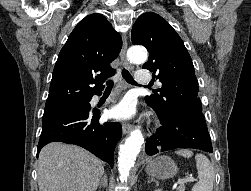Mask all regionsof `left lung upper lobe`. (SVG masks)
Here are the masks:
<instances>
[{
    "label": "left lung upper lobe",
    "instance_id": "1",
    "mask_svg": "<svg viewBox=\"0 0 251 191\" xmlns=\"http://www.w3.org/2000/svg\"><path fill=\"white\" fill-rule=\"evenodd\" d=\"M131 35L133 44L143 45L149 51L143 68L162 83L159 94L145 97L159 119L166 120L184 108L202 109L191 57L172 26L158 14L148 12L136 20Z\"/></svg>",
    "mask_w": 251,
    "mask_h": 191
}]
</instances>
